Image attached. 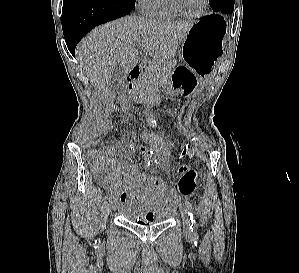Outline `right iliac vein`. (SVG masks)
Instances as JSON below:
<instances>
[{
	"label": "right iliac vein",
	"mask_w": 299,
	"mask_h": 273,
	"mask_svg": "<svg viewBox=\"0 0 299 273\" xmlns=\"http://www.w3.org/2000/svg\"><path fill=\"white\" fill-rule=\"evenodd\" d=\"M111 206H112V210H116L117 209V200L116 199H113L111 201Z\"/></svg>",
	"instance_id": "right-iliac-vein-1"
}]
</instances>
